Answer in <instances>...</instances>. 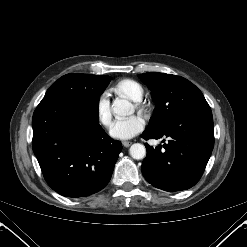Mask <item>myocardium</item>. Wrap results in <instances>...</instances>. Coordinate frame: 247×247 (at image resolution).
I'll return each mask as SVG.
<instances>
[{
    "label": "myocardium",
    "instance_id": "obj_1",
    "mask_svg": "<svg viewBox=\"0 0 247 247\" xmlns=\"http://www.w3.org/2000/svg\"><path fill=\"white\" fill-rule=\"evenodd\" d=\"M137 106L142 108V109L144 108V106L141 103H137Z\"/></svg>",
    "mask_w": 247,
    "mask_h": 247
}]
</instances>
